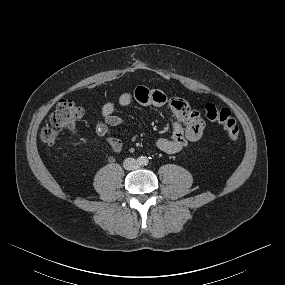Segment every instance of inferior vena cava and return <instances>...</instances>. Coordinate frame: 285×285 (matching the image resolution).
Masks as SVG:
<instances>
[{"label": "inferior vena cava", "instance_id": "inferior-vena-cava-1", "mask_svg": "<svg viewBox=\"0 0 285 285\" xmlns=\"http://www.w3.org/2000/svg\"><path fill=\"white\" fill-rule=\"evenodd\" d=\"M123 165L126 170H135L138 168V163L134 158L125 159Z\"/></svg>", "mask_w": 285, "mask_h": 285}]
</instances>
